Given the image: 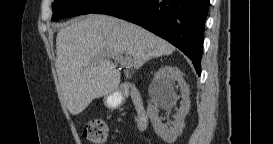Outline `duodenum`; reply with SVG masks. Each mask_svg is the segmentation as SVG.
Listing matches in <instances>:
<instances>
[{
    "label": "duodenum",
    "instance_id": "410a0bca",
    "mask_svg": "<svg viewBox=\"0 0 273 144\" xmlns=\"http://www.w3.org/2000/svg\"><path fill=\"white\" fill-rule=\"evenodd\" d=\"M121 93L132 100L136 112V127L139 131H144L148 126V115L139 89L133 85H125Z\"/></svg>",
    "mask_w": 273,
    "mask_h": 144
}]
</instances>
